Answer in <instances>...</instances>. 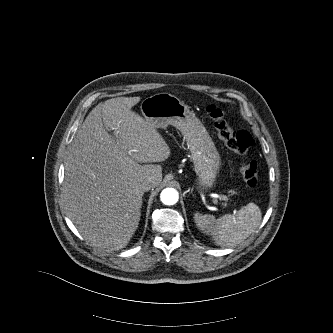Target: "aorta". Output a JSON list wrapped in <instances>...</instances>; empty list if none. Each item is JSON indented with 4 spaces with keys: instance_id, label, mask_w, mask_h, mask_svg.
Returning <instances> with one entry per match:
<instances>
[{
    "instance_id": "1",
    "label": "aorta",
    "mask_w": 333,
    "mask_h": 333,
    "mask_svg": "<svg viewBox=\"0 0 333 333\" xmlns=\"http://www.w3.org/2000/svg\"><path fill=\"white\" fill-rule=\"evenodd\" d=\"M160 199L165 205H174L178 201V192L173 188H165L160 194Z\"/></svg>"
}]
</instances>
